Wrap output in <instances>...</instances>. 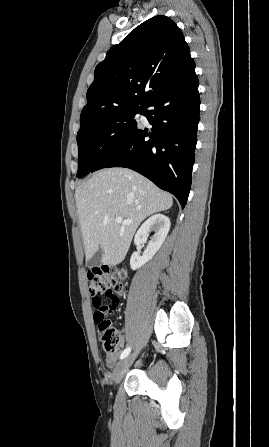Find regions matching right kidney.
<instances>
[{"mask_svg":"<svg viewBox=\"0 0 269 447\" xmlns=\"http://www.w3.org/2000/svg\"><path fill=\"white\" fill-rule=\"evenodd\" d=\"M169 229L170 220L163 214H154L139 227L134 237L135 245L146 243L150 231H154V235H152L143 255H140L139 251H133L130 259L131 269H137V267H141L146 261L152 259L156 251L160 249Z\"/></svg>","mask_w":269,"mask_h":447,"instance_id":"right-kidney-1","label":"right kidney"}]
</instances>
